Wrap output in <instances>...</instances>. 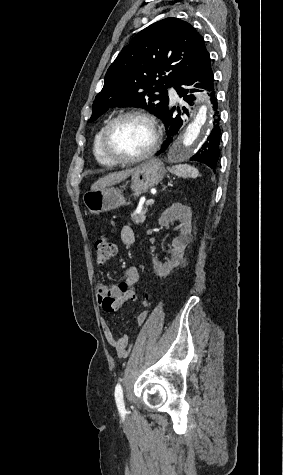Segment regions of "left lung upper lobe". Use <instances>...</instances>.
<instances>
[{"mask_svg":"<svg viewBox=\"0 0 283 475\" xmlns=\"http://www.w3.org/2000/svg\"><path fill=\"white\" fill-rule=\"evenodd\" d=\"M209 58L204 39L188 22L170 17L148 26L107 70L88 122L111 107H141L161 117L169 104L167 88Z\"/></svg>","mask_w":283,"mask_h":475,"instance_id":"1","label":"left lung upper lobe"}]
</instances>
